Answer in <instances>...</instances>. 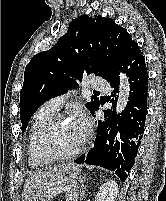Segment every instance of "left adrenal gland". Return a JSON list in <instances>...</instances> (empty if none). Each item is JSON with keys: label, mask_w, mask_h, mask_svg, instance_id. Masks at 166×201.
<instances>
[{"label": "left adrenal gland", "mask_w": 166, "mask_h": 201, "mask_svg": "<svg viewBox=\"0 0 166 201\" xmlns=\"http://www.w3.org/2000/svg\"><path fill=\"white\" fill-rule=\"evenodd\" d=\"M85 180H86L85 177H82L79 179V182L81 184V186H80V198L85 194V186H84Z\"/></svg>", "instance_id": "a2214340"}]
</instances>
